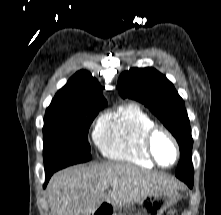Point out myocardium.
Here are the masks:
<instances>
[{"label": "myocardium", "instance_id": "f54148a6", "mask_svg": "<svg viewBox=\"0 0 221 215\" xmlns=\"http://www.w3.org/2000/svg\"><path fill=\"white\" fill-rule=\"evenodd\" d=\"M164 135L172 144V147L174 149V159L170 164H163L157 157L155 149H154V142L155 139L158 135ZM143 145L144 149L150 158V160L162 167V168H170L174 166L180 157V149L177 143V140L173 136V134L165 127L160 126V125H153L145 134L144 139H143Z\"/></svg>", "mask_w": 221, "mask_h": 215}]
</instances>
